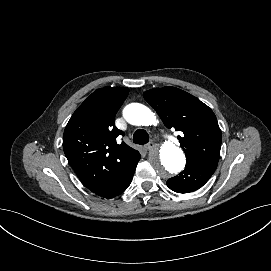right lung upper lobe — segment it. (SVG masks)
<instances>
[{
    "mask_svg": "<svg viewBox=\"0 0 271 271\" xmlns=\"http://www.w3.org/2000/svg\"><path fill=\"white\" fill-rule=\"evenodd\" d=\"M128 93L126 87L97 89L76 109L65 128L64 153L81 182L91 191L139 154L124 142H116L124 133L116 128L114 118Z\"/></svg>",
    "mask_w": 271,
    "mask_h": 271,
    "instance_id": "right-lung-upper-lobe-1",
    "label": "right lung upper lobe"
}]
</instances>
